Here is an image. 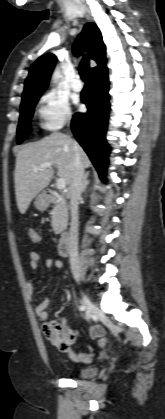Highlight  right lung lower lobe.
Masks as SVG:
<instances>
[{
	"instance_id": "98d812e1",
	"label": "right lung lower lobe",
	"mask_w": 165,
	"mask_h": 419,
	"mask_svg": "<svg viewBox=\"0 0 165 419\" xmlns=\"http://www.w3.org/2000/svg\"><path fill=\"white\" fill-rule=\"evenodd\" d=\"M108 90L107 68L90 74L81 94V101L86 104L88 111L76 113L71 123L75 138L102 178L105 177L107 156L110 151L105 138L110 110Z\"/></svg>"
}]
</instances>
